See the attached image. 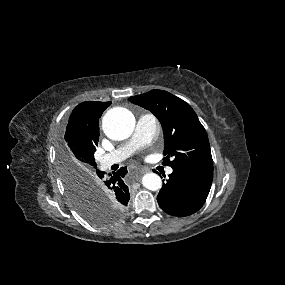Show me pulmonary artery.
<instances>
[{
    "label": "pulmonary artery",
    "instance_id": "1",
    "mask_svg": "<svg viewBox=\"0 0 285 285\" xmlns=\"http://www.w3.org/2000/svg\"><path fill=\"white\" fill-rule=\"evenodd\" d=\"M158 133L159 124L156 117L152 114H143L139 117L135 131L128 142L98 158L100 167L102 169H107L113 164L125 160L137 149L153 141ZM172 172V168L167 169L168 174H171Z\"/></svg>",
    "mask_w": 285,
    "mask_h": 285
}]
</instances>
